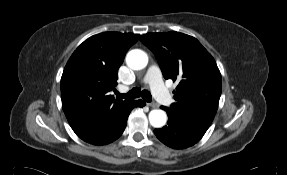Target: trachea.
<instances>
[{"mask_svg": "<svg viewBox=\"0 0 287 175\" xmlns=\"http://www.w3.org/2000/svg\"><path fill=\"white\" fill-rule=\"evenodd\" d=\"M116 94H117L118 98H138V97L142 96V98L146 102H151V100H152V96L148 90H143L141 92V90L139 88H133L132 90H130L126 94H120L118 92Z\"/></svg>", "mask_w": 287, "mask_h": 175, "instance_id": "1", "label": "trachea"}]
</instances>
